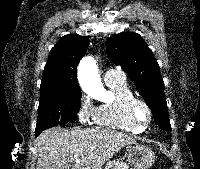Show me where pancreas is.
Returning <instances> with one entry per match:
<instances>
[{
	"label": "pancreas",
	"mask_w": 200,
	"mask_h": 169,
	"mask_svg": "<svg viewBox=\"0 0 200 169\" xmlns=\"http://www.w3.org/2000/svg\"><path fill=\"white\" fill-rule=\"evenodd\" d=\"M103 169H128V164L123 161L113 160L108 162Z\"/></svg>",
	"instance_id": "cf45deb5"
}]
</instances>
